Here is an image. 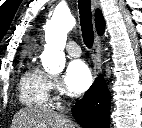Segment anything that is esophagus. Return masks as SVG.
<instances>
[{
  "label": "esophagus",
  "instance_id": "34e87169",
  "mask_svg": "<svg viewBox=\"0 0 142 128\" xmlns=\"http://www.w3.org/2000/svg\"><path fill=\"white\" fill-rule=\"evenodd\" d=\"M93 9L99 7L98 0H91ZM100 37L98 34L95 35V41L92 50L93 63H94V76L96 77L100 70L101 53H100Z\"/></svg>",
  "mask_w": 142,
  "mask_h": 128
}]
</instances>
